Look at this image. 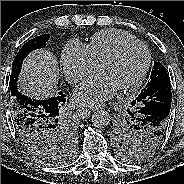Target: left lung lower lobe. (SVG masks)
<instances>
[{
	"mask_svg": "<svg viewBox=\"0 0 184 184\" xmlns=\"http://www.w3.org/2000/svg\"><path fill=\"white\" fill-rule=\"evenodd\" d=\"M171 97L170 81H160L141 91L131 102L133 117L152 128L158 138L164 136L167 130Z\"/></svg>",
	"mask_w": 184,
	"mask_h": 184,
	"instance_id": "obj_1",
	"label": "left lung lower lobe"
}]
</instances>
